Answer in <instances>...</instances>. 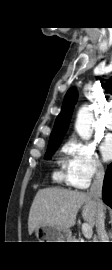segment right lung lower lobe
Segmentation results:
<instances>
[{
    "mask_svg": "<svg viewBox=\"0 0 112 270\" xmlns=\"http://www.w3.org/2000/svg\"><path fill=\"white\" fill-rule=\"evenodd\" d=\"M103 201L112 208V163L108 166L103 183Z\"/></svg>",
    "mask_w": 112,
    "mask_h": 270,
    "instance_id": "98d812e1",
    "label": "right lung lower lobe"
}]
</instances>
